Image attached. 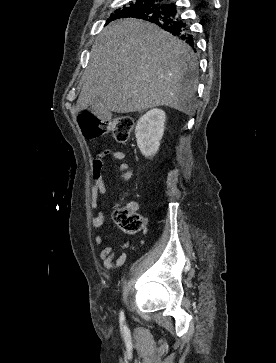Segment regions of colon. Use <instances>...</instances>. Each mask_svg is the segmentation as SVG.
Masks as SVG:
<instances>
[{
	"label": "colon",
	"instance_id": "5ec220e1",
	"mask_svg": "<svg viewBox=\"0 0 276 363\" xmlns=\"http://www.w3.org/2000/svg\"><path fill=\"white\" fill-rule=\"evenodd\" d=\"M79 126L88 138H97L111 134L118 143H126L134 127V120L130 116H117L108 120H101L88 111L78 116ZM113 221L128 235L140 232L145 221L135 210L128 207H116L112 211Z\"/></svg>",
	"mask_w": 276,
	"mask_h": 363
}]
</instances>
